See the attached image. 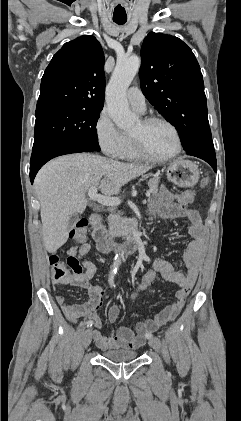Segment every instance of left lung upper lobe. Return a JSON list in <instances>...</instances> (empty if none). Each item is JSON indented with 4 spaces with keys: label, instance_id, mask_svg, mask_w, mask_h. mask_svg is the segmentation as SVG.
Here are the masks:
<instances>
[{
    "label": "left lung upper lobe",
    "instance_id": "5c2ea615",
    "mask_svg": "<svg viewBox=\"0 0 241 421\" xmlns=\"http://www.w3.org/2000/svg\"><path fill=\"white\" fill-rule=\"evenodd\" d=\"M140 84L148 101L175 126L187 154L214 147L200 66L179 38L149 33L141 47Z\"/></svg>",
    "mask_w": 241,
    "mask_h": 421
}]
</instances>
